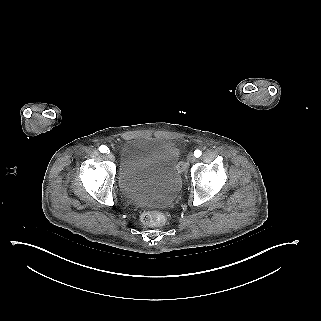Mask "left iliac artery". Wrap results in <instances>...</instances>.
Wrapping results in <instances>:
<instances>
[{"label": "left iliac artery", "instance_id": "obj_1", "mask_svg": "<svg viewBox=\"0 0 321 321\" xmlns=\"http://www.w3.org/2000/svg\"><path fill=\"white\" fill-rule=\"evenodd\" d=\"M202 152L200 150H195L194 155L195 157H200Z\"/></svg>", "mask_w": 321, "mask_h": 321}]
</instances>
